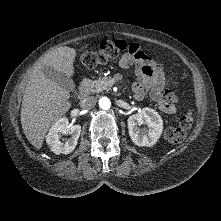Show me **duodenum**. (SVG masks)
Listing matches in <instances>:
<instances>
[{
    "instance_id": "410a0bca",
    "label": "duodenum",
    "mask_w": 221,
    "mask_h": 221,
    "mask_svg": "<svg viewBox=\"0 0 221 221\" xmlns=\"http://www.w3.org/2000/svg\"><path fill=\"white\" fill-rule=\"evenodd\" d=\"M90 89V80L85 78L81 81L78 88V96L79 98H84L89 93Z\"/></svg>"
}]
</instances>
